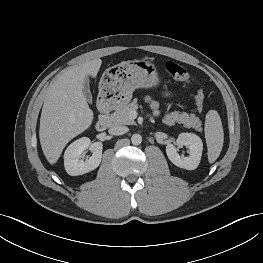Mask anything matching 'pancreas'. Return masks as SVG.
Listing matches in <instances>:
<instances>
[{"label": "pancreas", "mask_w": 263, "mask_h": 263, "mask_svg": "<svg viewBox=\"0 0 263 263\" xmlns=\"http://www.w3.org/2000/svg\"><path fill=\"white\" fill-rule=\"evenodd\" d=\"M138 105L135 101L123 105L113 112L110 120L113 125H133L134 120L130 117V112L135 111ZM162 122L166 125H174L175 123L183 124L185 128H194L196 131L201 132V121L195 114H188L186 112L173 111L164 115Z\"/></svg>", "instance_id": "obj_1"}]
</instances>
